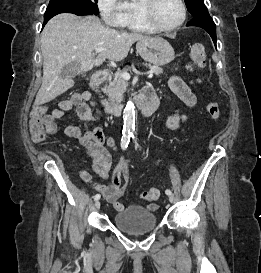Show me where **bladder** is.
Masks as SVG:
<instances>
[{"mask_svg": "<svg viewBox=\"0 0 261 273\" xmlns=\"http://www.w3.org/2000/svg\"><path fill=\"white\" fill-rule=\"evenodd\" d=\"M113 223L117 228L127 233H145L156 227L157 216L148 207L132 204L116 213Z\"/></svg>", "mask_w": 261, "mask_h": 273, "instance_id": "31cf9c89", "label": "bladder"}]
</instances>
